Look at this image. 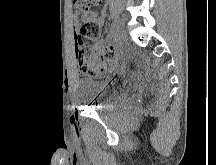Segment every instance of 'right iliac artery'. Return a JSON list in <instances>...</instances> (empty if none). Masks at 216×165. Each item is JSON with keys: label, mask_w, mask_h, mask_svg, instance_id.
Segmentation results:
<instances>
[{"label": "right iliac artery", "mask_w": 216, "mask_h": 165, "mask_svg": "<svg viewBox=\"0 0 216 165\" xmlns=\"http://www.w3.org/2000/svg\"><path fill=\"white\" fill-rule=\"evenodd\" d=\"M107 37H108V39L111 40V41L115 38V30H114V27H111V28H110Z\"/></svg>", "instance_id": "1"}]
</instances>
